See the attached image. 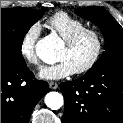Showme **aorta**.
Here are the masks:
<instances>
[{
    "label": "aorta",
    "instance_id": "1",
    "mask_svg": "<svg viewBox=\"0 0 123 123\" xmlns=\"http://www.w3.org/2000/svg\"><path fill=\"white\" fill-rule=\"evenodd\" d=\"M59 48L57 40L48 35L41 38L35 46L37 56L44 62L52 64L56 60V51ZM45 104L52 110L61 108L64 104V98L62 94L58 92H49L45 96Z\"/></svg>",
    "mask_w": 123,
    "mask_h": 123
}]
</instances>
